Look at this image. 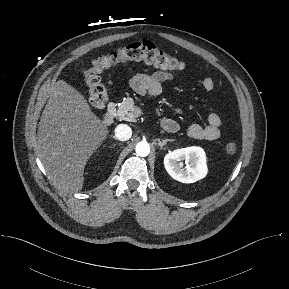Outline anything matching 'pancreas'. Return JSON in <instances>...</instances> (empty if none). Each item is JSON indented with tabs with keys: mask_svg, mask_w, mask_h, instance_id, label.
Here are the masks:
<instances>
[{
	"mask_svg": "<svg viewBox=\"0 0 289 289\" xmlns=\"http://www.w3.org/2000/svg\"><path fill=\"white\" fill-rule=\"evenodd\" d=\"M139 115L140 114L138 112V108L134 105V101L132 98H126L125 100H123L115 111V116L119 120H125L129 122L136 121Z\"/></svg>",
	"mask_w": 289,
	"mask_h": 289,
	"instance_id": "pancreas-1",
	"label": "pancreas"
}]
</instances>
